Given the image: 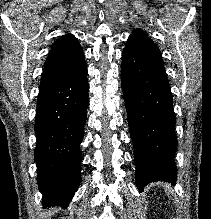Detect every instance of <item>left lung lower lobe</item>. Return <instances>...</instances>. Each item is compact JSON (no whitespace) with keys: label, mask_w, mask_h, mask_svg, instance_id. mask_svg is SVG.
Returning a JSON list of instances; mask_svg holds the SVG:
<instances>
[{"label":"left lung lower lobe","mask_w":211,"mask_h":219,"mask_svg":"<svg viewBox=\"0 0 211 219\" xmlns=\"http://www.w3.org/2000/svg\"><path fill=\"white\" fill-rule=\"evenodd\" d=\"M121 76L138 190L155 181L175 183L173 99L161 52L151 39L129 36L122 53Z\"/></svg>","instance_id":"1"}]
</instances>
